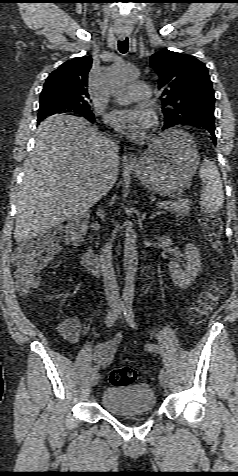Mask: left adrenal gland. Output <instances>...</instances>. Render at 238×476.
Segmentation results:
<instances>
[{
  "label": "left adrenal gland",
  "instance_id": "a2214340",
  "mask_svg": "<svg viewBox=\"0 0 238 476\" xmlns=\"http://www.w3.org/2000/svg\"><path fill=\"white\" fill-rule=\"evenodd\" d=\"M162 213H163L162 211L153 212L149 218H150V219H153V218H155L157 215H160V214H162Z\"/></svg>",
  "mask_w": 238,
  "mask_h": 476
}]
</instances>
